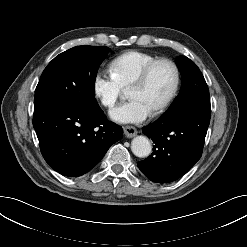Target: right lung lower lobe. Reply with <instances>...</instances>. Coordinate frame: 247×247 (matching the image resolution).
Masks as SVG:
<instances>
[{"label": "right lung lower lobe", "instance_id": "obj_1", "mask_svg": "<svg viewBox=\"0 0 247 247\" xmlns=\"http://www.w3.org/2000/svg\"><path fill=\"white\" fill-rule=\"evenodd\" d=\"M33 126L45 161L68 177L90 171L123 137L122 127L107 121L100 107L84 109L67 100L34 109Z\"/></svg>", "mask_w": 247, "mask_h": 247}]
</instances>
